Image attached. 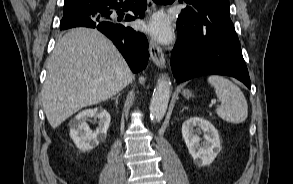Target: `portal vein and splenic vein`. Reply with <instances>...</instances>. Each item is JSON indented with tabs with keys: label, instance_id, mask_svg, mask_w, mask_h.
<instances>
[{
	"label": "portal vein and splenic vein",
	"instance_id": "1",
	"mask_svg": "<svg viewBox=\"0 0 293 184\" xmlns=\"http://www.w3.org/2000/svg\"><path fill=\"white\" fill-rule=\"evenodd\" d=\"M216 104V100H212L210 106H213Z\"/></svg>",
	"mask_w": 293,
	"mask_h": 184
}]
</instances>
